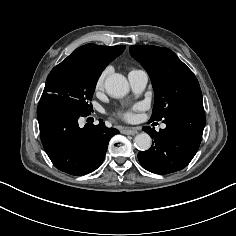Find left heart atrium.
I'll return each mask as SVG.
<instances>
[{
	"label": "left heart atrium",
	"mask_w": 236,
	"mask_h": 236,
	"mask_svg": "<svg viewBox=\"0 0 236 236\" xmlns=\"http://www.w3.org/2000/svg\"><path fill=\"white\" fill-rule=\"evenodd\" d=\"M140 109H141L140 105H135V106H133L130 109L122 110V111L118 112V115L121 118H123L124 120L131 121V120H133L135 118L134 112L138 111Z\"/></svg>",
	"instance_id": "obj_1"
}]
</instances>
